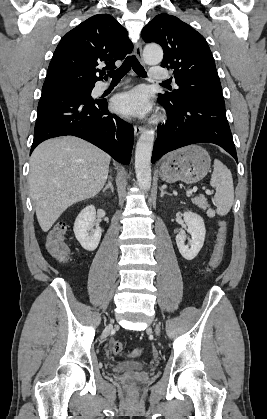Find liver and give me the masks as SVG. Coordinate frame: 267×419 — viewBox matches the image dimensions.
Returning a JSON list of instances; mask_svg holds the SVG:
<instances>
[{"label": "liver", "instance_id": "liver-1", "mask_svg": "<svg viewBox=\"0 0 267 419\" xmlns=\"http://www.w3.org/2000/svg\"><path fill=\"white\" fill-rule=\"evenodd\" d=\"M110 156L91 143L64 136L41 143L30 158V196L47 232L71 205L98 194L108 177Z\"/></svg>", "mask_w": 267, "mask_h": 419}]
</instances>
